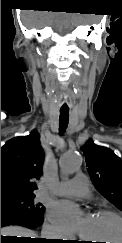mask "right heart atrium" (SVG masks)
<instances>
[{
  "mask_svg": "<svg viewBox=\"0 0 122 243\" xmlns=\"http://www.w3.org/2000/svg\"><path fill=\"white\" fill-rule=\"evenodd\" d=\"M46 232H47L48 235H50L52 237H57V238L64 237V235L61 233V231L53 225H47L46 226Z\"/></svg>",
  "mask_w": 122,
  "mask_h": 243,
  "instance_id": "right-heart-atrium-1",
  "label": "right heart atrium"
}]
</instances>
